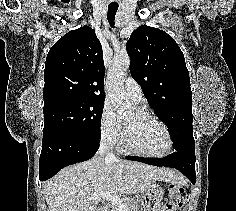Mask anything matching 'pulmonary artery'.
Wrapping results in <instances>:
<instances>
[{
    "label": "pulmonary artery",
    "mask_w": 236,
    "mask_h": 211,
    "mask_svg": "<svg viewBox=\"0 0 236 211\" xmlns=\"http://www.w3.org/2000/svg\"><path fill=\"white\" fill-rule=\"evenodd\" d=\"M124 90L127 96L136 102L141 101L143 98V92L140 84L131 77L125 80Z\"/></svg>",
    "instance_id": "obj_1"
}]
</instances>
